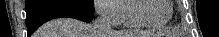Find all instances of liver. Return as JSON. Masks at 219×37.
I'll use <instances>...</instances> for the list:
<instances>
[{
    "instance_id": "1",
    "label": "liver",
    "mask_w": 219,
    "mask_h": 37,
    "mask_svg": "<svg viewBox=\"0 0 219 37\" xmlns=\"http://www.w3.org/2000/svg\"><path fill=\"white\" fill-rule=\"evenodd\" d=\"M114 37H129L128 33H113ZM34 37H94L92 25L76 19L59 18L42 25Z\"/></svg>"
}]
</instances>
